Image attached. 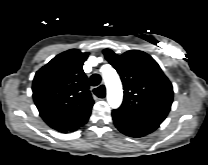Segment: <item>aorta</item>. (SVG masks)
<instances>
[{
	"mask_svg": "<svg viewBox=\"0 0 208 165\" xmlns=\"http://www.w3.org/2000/svg\"><path fill=\"white\" fill-rule=\"evenodd\" d=\"M103 72V79L107 88V101L112 108H118L121 105L123 98V90L120 78L117 72L107 66Z\"/></svg>",
	"mask_w": 208,
	"mask_h": 165,
	"instance_id": "762f6f07",
	"label": "aorta"
}]
</instances>
